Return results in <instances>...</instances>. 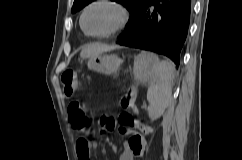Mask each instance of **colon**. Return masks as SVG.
I'll return each mask as SVG.
<instances>
[{"label":"colon","mask_w":242,"mask_h":160,"mask_svg":"<svg viewBox=\"0 0 242 160\" xmlns=\"http://www.w3.org/2000/svg\"><path fill=\"white\" fill-rule=\"evenodd\" d=\"M63 91L66 96H72L81 86V82L76 69H67L62 74ZM135 91L130 89L122 97L121 104L125 109L134 107ZM71 118L77 127L84 128L88 125V118L78 103L71 104L69 108ZM119 122L123 126H133L136 123L131 112L122 113L119 116Z\"/></svg>","instance_id":"colon-1"}]
</instances>
